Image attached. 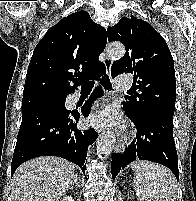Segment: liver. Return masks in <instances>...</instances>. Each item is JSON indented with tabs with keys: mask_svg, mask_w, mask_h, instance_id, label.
<instances>
[{
	"mask_svg": "<svg viewBox=\"0 0 196 201\" xmlns=\"http://www.w3.org/2000/svg\"><path fill=\"white\" fill-rule=\"evenodd\" d=\"M74 165L59 157L42 156L23 163L15 171L13 201H57L75 178Z\"/></svg>",
	"mask_w": 196,
	"mask_h": 201,
	"instance_id": "liver-1",
	"label": "liver"
}]
</instances>
